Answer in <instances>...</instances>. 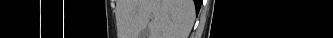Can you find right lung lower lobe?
Returning <instances> with one entry per match:
<instances>
[{"instance_id":"right-lung-lower-lobe-1","label":"right lung lower lobe","mask_w":333,"mask_h":38,"mask_svg":"<svg viewBox=\"0 0 333 38\" xmlns=\"http://www.w3.org/2000/svg\"><path fill=\"white\" fill-rule=\"evenodd\" d=\"M194 2H195V6L197 7V5H198V1H196V0H194ZM197 9V8H196Z\"/></svg>"}]
</instances>
